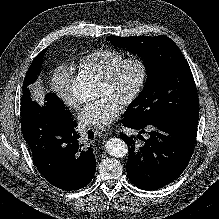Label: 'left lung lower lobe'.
Listing matches in <instances>:
<instances>
[{
    "label": "left lung lower lobe",
    "instance_id": "1",
    "mask_svg": "<svg viewBox=\"0 0 219 219\" xmlns=\"http://www.w3.org/2000/svg\"><path fill=\"white\" fill-rule=\"evenodd\" d=\"M198 118L199 112L144 123L124 118L122 124L140 134L150 130L149 139H143L145 144L139 148L132 137L120 135L129 147L126 170L130 181L140 189L157 190L178 178L192 156Z\"/></svg>",
    "mask_w": 219,
    "mask_h": 219
}]
</instances>
